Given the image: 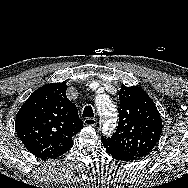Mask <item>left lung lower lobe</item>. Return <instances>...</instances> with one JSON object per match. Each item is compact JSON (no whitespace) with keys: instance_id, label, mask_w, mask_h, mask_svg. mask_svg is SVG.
Listing matches in <instances>:
<instances>
[{"instance_id":"0a47b994","label":"left lung lower lobe","mask_w":188,"mask_h":188,"mask_svg":"<svg viewBox=\"0 0 188 188\" xmlns=\"http://www.w3.org/2000/svg\"><path fill=\"white\" fill-rule=\"evenodd\" d=\"M101 141L106 149V151L115 159L121 161H133L138 160L136 156L132 155L131 153L122 150L121 148L117 147L116 145L112 144L106 138L101 137Z\"/></svg>"}]
</instances>
